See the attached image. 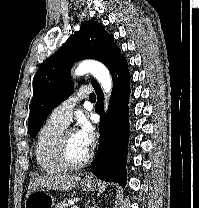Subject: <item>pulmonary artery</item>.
<instances>
[{"mask_svg": "<svg viewBox=\"0 0 199 208\" xmlns=\"http://www.w3.org/2000/svg\"><path fill=\"white\" fill-rule=\"evenodd\" d=\"M91 94L93 93L90 87H84L78 90L77 92L73 93L69 99L54 108L50 118L56 122L62 123L65 126L68 125L72 117L73 109L77 102L81 99L89 98Z\"/></svg>", "mask_w": 199, "mask_h": 208, "instance_id": "pulmonary-artery-1", "label": "pulmonary artery"}]
</instances>
